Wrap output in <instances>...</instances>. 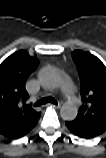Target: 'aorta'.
Returning a JSON list of instances; mask_svg holds the SVG:
<instances>
[{
    "label": "aorta",
    "instance_id": "762f6f07",
    "mask_svg": "<svg viewBox=\"0 0 106 158\" xmlns=\"http://www.w3.org/2000/svg\"><path fill=\"white\" fill-rule=\"evenodd\" d=\"M42 81L45 85L49 87H57L61 83V76L59 73L53 69H47L42 75ZM78 108L74 103H65L60 110V115L63 120L71 121L77 116Z\"/></svg>",
    "mask_w": 106,
    "mask_h": 158
}]
</instances>
